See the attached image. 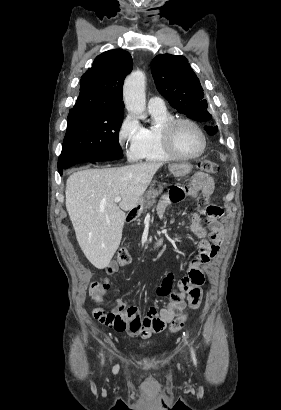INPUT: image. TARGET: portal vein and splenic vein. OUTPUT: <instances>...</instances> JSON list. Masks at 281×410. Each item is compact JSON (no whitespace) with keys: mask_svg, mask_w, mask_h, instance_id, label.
Segmentation results:
<instances>
[{"mask_svg":"<svg viewBox=\"0 0 281 410\" xmlns=\"http://www.w3.org/2000/svg\"><path fill=\"white\" fill-rule=\"evenodd\" d=\"M121 196H117L115 199H114V201L116 202V203H118V202H120L121 201Z\"/></svg>","mask_w":281,"mask_h":410,"instance_id":"18ae733b","label":"portal vein and splenic vein"}]
</instances>
